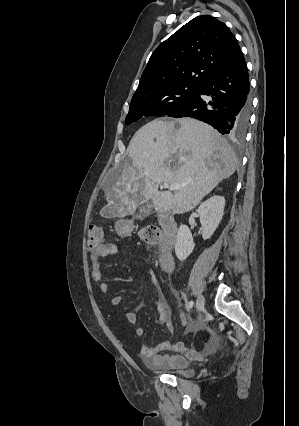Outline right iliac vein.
I'll return each instance as SVG.
<instances>
[{"label":"right iliac vein","instance_id":"right-iliac-vein-1","mask_svg":"<svg viewBox=\"0 0 299 426\" xmlns=\"http://www.w3.org/2000/svg\"><path fill=\"white\" fill-rule=\"evenodd\" d=\"M205 299L202 295H199L196 300V310L201 311L204 308Z\"/></svg>","mask_w":299,"mask_h":426}]
</instances>
